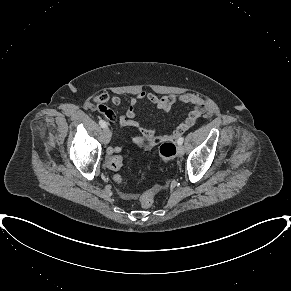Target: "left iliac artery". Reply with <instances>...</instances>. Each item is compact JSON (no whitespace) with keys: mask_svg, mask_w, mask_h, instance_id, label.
I'll return each instance as SVG.
<instances>
[{"mask_svg":"<svg viewBox=\"0 0 291 291\" xmlns=\"http://www.w3.org/2000/svg\"><path fill=\"white\" fill-rule=\"evenodd\" d=\"M183 141H184V138H183V137H180V138L177 140L178 145H182Z\"/></svg>","mask_w":291,"mask_h":291,"instance_id":"left-iliac-artery-1","label":"left iliac artery"}]
</instances>
